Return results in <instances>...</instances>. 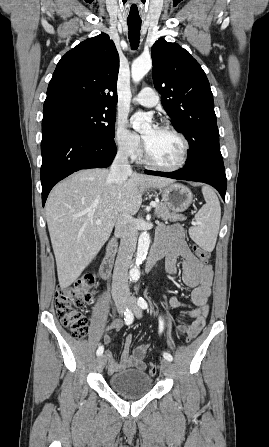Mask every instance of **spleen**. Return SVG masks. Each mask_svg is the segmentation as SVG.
Here are the masks:
<instances>
[{
  "label": "spleen",
  "mask_w": 269,
  "mask_h": 447,
  "mask_svg": "<svg viewBox=\"0 0 269 447\" xmlns=\"http://www.w3.org/2000/svg\"><path fill=\"white\" fill-rule=\"evenodd\" d=\"M202 194L206 204L196 214V225L190 227L189 233L199 247L213 251L221 220L220 202L211 186H202Z\"/></svg>",
  "instance_id": "obj_1"
}]
</instances>
